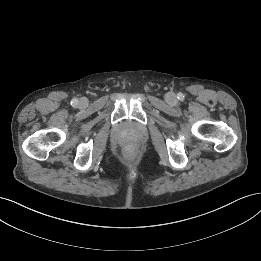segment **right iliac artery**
I'll return each mask as SVG.
<instances>
[{
  "instance_id": "right-iliac-artery-1",
  "label": "right iliac artery",
  "mask_w": 261,
  "mask_h": 261,
  "mask_svg": "<svg viewBox=\"0 0 261 261\" xmlns=\"http://www.w3.org/2000/svg\"><path fill=\"white\" fill-rule=\"evenodd\" d=\"M78 104V99L77 98H74L72 101H71V105L72 106H76Z\"/></svg>"
}]
</instances>
